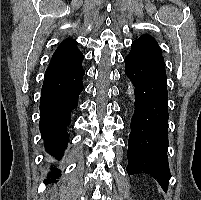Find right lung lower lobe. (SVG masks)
Wrapping results in <instances>:
<instances>
[{
  "mask_svg": "<svg viewBox=\"0 0 201 200\" xmlns=\"http://www.w3.org/2000/svg\"><path fill=\"white\" fill-rule=\"evenodd\" d=\"M85 71L81 66L58 77L45 79L41 89L39 129L45 150L60 159L69 141L67 127L71 112L78 105V96L83 90L82 78ZM61 173L53 169L44 182H57Z\"/></svg>",
  "mask_w": 201,
  "mask_h": 200,
  "instance_id": "1",
  "label": "right lung lower lobe"
}]
</instances>
